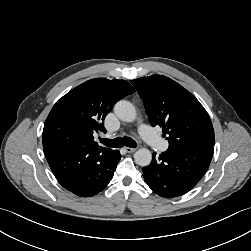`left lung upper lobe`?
<instances>
[{
    "label": "left lung upper lobe",
    "instance_id": "1",
    "mask_svg": "<svg viewBox=\"0 0 251 251\" xmlns=\"http://www.w3.org/2000/svg\"><path fill=\"white\" fill-rule=\"evenodd\" d=\"M149 121L163 128L169 148L213 155L214 130L200 102L177 82L162 75L132 80Z\"/></svg>",
    "mask_w": 251,
    "mask_h": 251
}]
</instances>
